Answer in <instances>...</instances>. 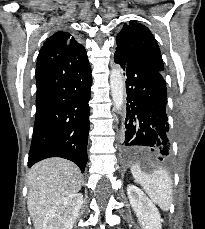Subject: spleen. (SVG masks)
<instances>
[{
  "mask_svg": "<svg viewBox=\"0 0 205 229\" xmlns=\"http://www.w3.org/2000/svg\"><path fill=\"white\" fill-rule=\"evenodd\" d=\"M131 173L135 181L143 187L151 200L158 204L162 210L168 211L173 195L170 176L164 170L146 174L136 165L131 167Z\"/></svg>",
  "mask_w": 205,
  "mask_h": 229,
  "instance_id": "spleen-1",
  "label": "spleen"
}]
</instances>
